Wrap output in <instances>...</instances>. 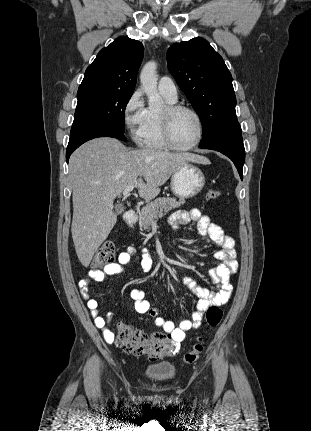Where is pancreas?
<instances>
[{
	"label": "pancreas",
	"mask_w": 311,
	"mask_h": 431,
	"mask_svg": "<svg viewBox=\"0 0 311 431\" xmlns=\"http://www.w3.org/2000/svg\"><path fill=\"white\" fill-rule=\"evenodd\" d=\"M182 204H185L184 198H180L178 202L176 198H157V200H154L151 204H146L144 208L138 210L139 225H141L143 229H151L154 217L165 216L167 212H171L174 208H179Z\"/></svg>",
	"instance_id": "obj_1"
}]
</instances>
